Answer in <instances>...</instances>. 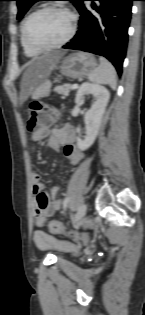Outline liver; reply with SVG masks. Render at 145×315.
Masks as SVG:
<instances>
[{
  "label": "liver",
  "instance_id": "liver-1",
  "mask_svg": "<svg viewBox=\"0 0 145 315\" xmlns=\"http://www.w3.org/2000/svg\"><path fill=\"white\" fill-rule=\"evenodd\" d=\"M65 52L47 54L28 63L21 81L20 103H24L32 92L48 79Z\"/></svg>",
  "mask_w": 145,
  "mask_h": 315
}]
</instances>
